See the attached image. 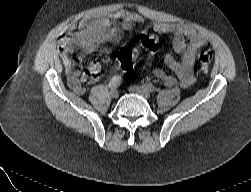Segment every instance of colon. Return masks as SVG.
<instances>
[{"mask_svg": "<svg viewBox=\"0 0 251 192\" xmlns=\"http://www.w3.org/2000/svg\"><path fill=\"white\" fill-rule=\"evenodd\" d=\"M160 44L157 35L146 33L141 35L139 44L135 48H123L118 55V65L121 70L128 71L135 65L138 55L143 53L145 56L154 55ZM211 53L208 50L201 49L196 54V64L199 68H205L210 60Z\"/></svg>", "mask_w": 251, "mask_h": 192, "instance_id": "1", "label": "colon"}]
</instances>
